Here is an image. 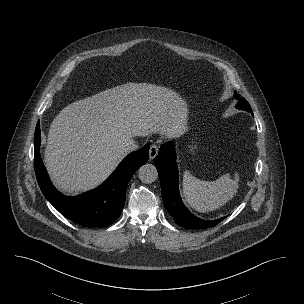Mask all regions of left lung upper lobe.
Wrapping results in <instances>:
<instances>
[{
  "mask_svg": "<svg viewBox=\"0 0 304 304\" xmlns=\"http://www.w3.org/2000/svg\"><path fill=\"white\" fill-rule=\"evenodd\" d=\"M237 99H238V103L236 104V108L240 109V110H245L247 112H251L252 113V109L249 105V103L246 101V99L244 98H240V96L236 95Z\"/></svg>",
  "mask_w": 304,
  "mask_h": 304,
  "instance_id": "left-lung-upper-lobe-1",
  "label": "left lung upper lobe"
}]
</instances>
